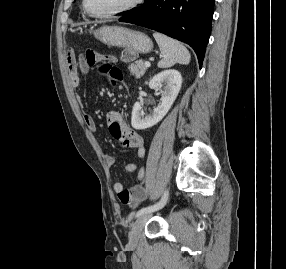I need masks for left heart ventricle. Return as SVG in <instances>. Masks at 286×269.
<instances>
[{
	"label": "left heart ventricle",
	"mask_w": 286,
	"mask_h": 269,
	"mask_svg": "<svg viewBox=\"0 0 286 269\" xmlns=\"http://www.w3.org/2000/svg\"><path fill=\"white\" fill-rule=\"evenodd\" d=\"M131 0H87L89 10L95 14L107 13L119 9Z\"/></svg>",
	"instance_id": "obj_1"
}]
</instances>
